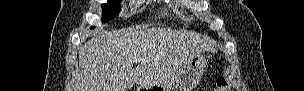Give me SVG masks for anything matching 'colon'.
Masks as SVG:
<instances>
[{"instance_id":"obj_1","label":"colon","mask_w":304,"mask_h":91,"mask_svg":"<svg viewBox=\"0 0 304 91\" xmlns=\"http://www.w3.org/2000/svg\"><path fill=\"white\" fill-rule=\"evenodd\" d=\"M216 88L217 91H231V85L228 83V81L224 77H218L216 79Z\"/></svg>"}]
</instances>
